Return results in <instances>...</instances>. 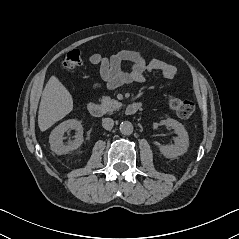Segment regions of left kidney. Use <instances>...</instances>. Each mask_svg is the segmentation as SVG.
<instances>
[{"mask_svg": "<svg viewBox=\"0 0 239 239\" xmlns=\"http://www.w3.org/2000/svg\"><path fill=\"white\" fill-rule=\"evenodd\" d=\"M160 124L165 125L167 127H171L175 131V133L178 135V137L175 139L174 145L159 146L160 152L166 158H177L178 156L185 154L189 147V137L184 126L177 120H174L171 118L162 120Z\"/></svg>", "mask_w": 239, "mask_h": 239, "instance_id": "obj_1", "label": "left kidney"}]
</instances>
